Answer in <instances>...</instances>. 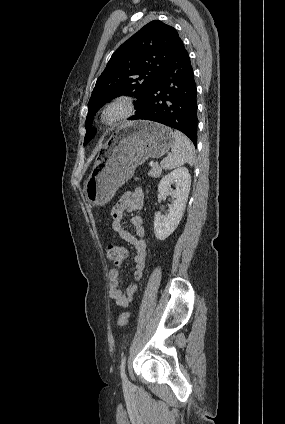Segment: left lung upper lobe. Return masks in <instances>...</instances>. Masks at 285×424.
Here are the masks:
<instances>
[{"mask_svg": "<svg viewBox=\"0 0 285 424\" xmlns=\"http://www.w3.org/2000/svg\"><path fill=\"white\" fill-rule=\"evenodd\" d=\"M180 41L177 31L161 21H151L124 42L111 56L96 81L88 103L86 145L95 135L92 122L101 106L121 95L135 96L140 105L158 81Z\"/></svg>", "mask_w": 285, "mask_h": 424, "instance_id": "5c2ea615", "label": "left lung upper lobe"}]
</instances>
